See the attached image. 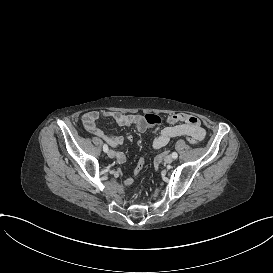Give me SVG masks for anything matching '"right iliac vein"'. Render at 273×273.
Returning <instances> with one entry per match:
<instances>
[{"mask_svg": "<svg viewBox=\"0 0 273 273\" xmlns=\"http://www.w3.org/2000/svg\"><path fill=\"white\" fill-rule=\"evenodd\" d=\"M107 155H108L110 158H114V157H115V152H114L112 149H110V150L107 151Z\"/></svg>", "mask_w": 273, "mask_h": 273, "instance_id": "63e3f726", "label": "right iliac vein"}]
</instances>
